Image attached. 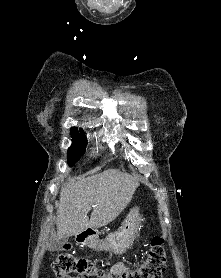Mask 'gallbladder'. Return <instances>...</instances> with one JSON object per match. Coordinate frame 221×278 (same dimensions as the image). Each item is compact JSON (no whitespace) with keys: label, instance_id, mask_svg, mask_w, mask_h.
Returning a JSON list of instances; mask_svg holds the SVG:
<instances>
[{"label":"gallbladder","instance_id":"1","mask_svg":"<svg viewBox=\"0 0 221 278\" xmlns=\"http://www.w3.org/2000/svg\"><path fill=\"white\" fill-rule=\"evenodd\" d=\"M68 241V236H64L61 239L57 240L54 242L53 246L51 247L52 250H60L62 246L67 243Z\"/></svg>","mask_w":221,"mask_h":278}]
</instances>
